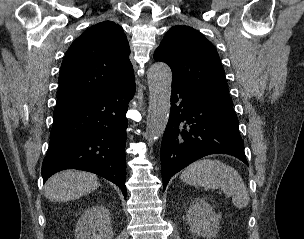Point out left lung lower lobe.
<instances>
[{
    "label": "left lung lower lobe",
    "instance_id": "1",
    "mask_svg": "<svg viewBox=\"0 0 304 239\" xmlns=\"http://www.w3.org/2000/svg\"><path fill=\"white\" fill-rule=\"evenodd\" d=\"M217 153L235 156L248 165L233 106L172 84L170 117L161 144L164 190L175 173Z\"/></svg>",
    "mask_w": 304,
    "mask_h": 239
}]
</instances>
